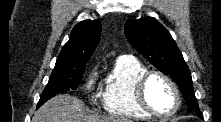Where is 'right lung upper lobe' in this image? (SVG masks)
<instances>
[{"label":"right lung upper lobe","instance_id":"1","mask_svg":"<svg viewBox=\"0 0 221 122\" xmlns=\"http://www.w3.org/2000/svg\"><path fill=\"white\" fill-rule=\"evenodd\" d=\"M99 20H84L71 31L69 41L62 48L55 67L78 68L86 66L100 40Z\"/></svg>","mask_w":221,"mask_h":122}]
</instances>
